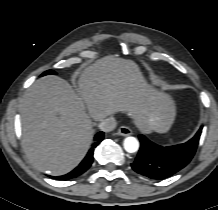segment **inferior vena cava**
<instances>
[{
    "mask_svg": "<svg viewBox=\"0 0 218 210\" xmlns=\"http://www.w3.org/2000/svg\"><path fill=\"white\" fill-rule=\"evenodd\" d=\"M116 125H117V122L115 118L109 117L101 121L98 127L103 132H110L116 128Z\"/></svg>",
    "mask_w": 218,
    "mask_h": 210,
    "instance_id": "obj_1",
    "label": "inferior vena cava"
}]
</instances>
